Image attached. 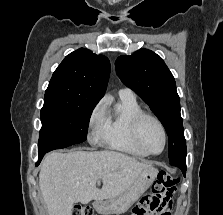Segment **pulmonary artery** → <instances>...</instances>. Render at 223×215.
<instances>
[{
  "label": "pulmonary artery",
  "mask_w": 223,
  "mask_h": 215,
  "mask_svg": "<svg viewBox=\"0 0 223 215\" xmlns=\"http://www.w3.org/2000/svg\"><path fill=\"white\" fill-rule=\"evenodd\" d=\"M119 95L121 96H134L133 92L127 88H122L119 90Z\"/></svg>",
  "instance_id": "1"
}]
</instances>
